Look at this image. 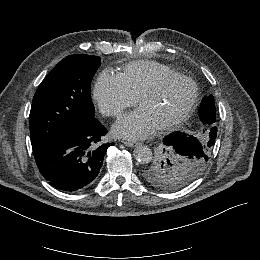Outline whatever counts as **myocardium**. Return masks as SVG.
Instances as JSON below:
<instances>
[{
  "label": "myocardium",
  "mask_w": 260,
  "mask_h": 260,
  "mask_svg": "<svg viewBox=\"0 0 260 260\" xmlns=\"http://www.w3.org/2000/svg\"><path fill=\"white\" fill-rule=\"evenodd\" d=\"M177 79L188 80L193 84L191 79L182 73H177V74H173V75H167V76H162V77L156 78L154 81L151 82V84H149L146 88H144L138 94V96L136 98V104L138 105L142 99L156 94L162 88V86H164L166 83L171 82L173 80H177ZM194 88H195L194 96H193L191 102L189 103L188 107L185 109V111L175 120L165 123V124H161L159 126H156L155 127L156 132L163 133V132L175 130L178 127H180L190 117L191 113L193 112V110L195 109L196 105L198 104V102L200 100V92H199L197 86L194 85Z\"/></svg>",
  "instance_id": "f54148a6"
}]
</instances>
